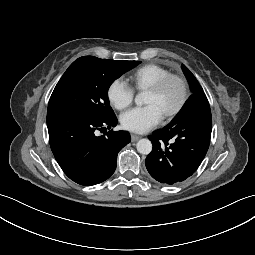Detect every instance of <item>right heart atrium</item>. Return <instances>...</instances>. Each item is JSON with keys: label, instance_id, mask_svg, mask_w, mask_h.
Listing matches in <instances>:
<instances>
[{"label": "right heart atrium", "instance_id": "obj_1", "mask_svg": "<svg viewBox=\"0 0 255 255\" xmlns=\"http://www.w3.org/2000/svg\"><path fill=\"white\" fill-rule=\"evenodd\" d=\"M107 98L117 110H124L134 99L133 88L122 78L114 79L107 88Z\"/></svg>", "mask_w": 255, "mask_h": 255}]
</instances>
